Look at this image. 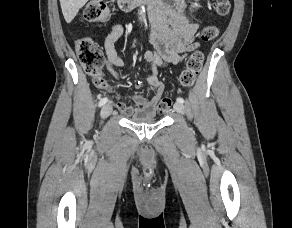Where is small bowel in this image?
<instances>
[{
  "label": "small bowel",
  "mask_w": 292,
  "mask_h": 228,
  "mask_svg": "<svg viewBox=\"0 0 292 228\" xmlns=\"http://www.w3.org/2000/svg\"><path fill=\"white\" fill-rule=\"evenodd\" d=\"M149 20V43L152 49L144 54V60L149 66L146 82L154 93L151 98L133 93L131 98L137 107L117 102V108L128 116L155 115L157 103L164 92V84L158 77L159 69L180 63L183 56L198 45L195 42L198 24L187 16L185 0L159 1L151 7ZM124 33V27L119 24L109 26L105 31L106 69L117 79L120 78L117 68L122 67L124 62L116 52L115 43ZM138 87H141V84ZM101 88L112 90L105 82Z\"/></svg>",
  "instance_id": "obj_1"
}]
</instances>
